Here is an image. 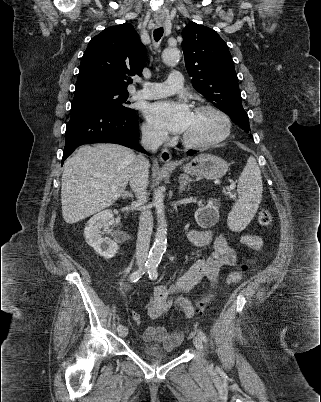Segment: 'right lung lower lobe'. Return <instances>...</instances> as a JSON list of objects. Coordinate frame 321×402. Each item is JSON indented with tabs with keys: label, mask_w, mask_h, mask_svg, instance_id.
<instances>
[{
	"label": "right lung lower lobe",
	"mask_w": 321,
	"mask_h": 402,
	"mask_svg": "<svg viewBox=\"0 0 321 402\" xmlns=\"http://www.w3.org/2000/svg\"><path fill=\"white\" fill-rule=\"evenodd\" d=\"M65 138L62 164L78 146L88 143H117L147 153L138 145L139 126L135 111L127 114L88 109L73 111Z\"/></svg>",
	"instance_id": "98d812e1"
}]
</instances>
